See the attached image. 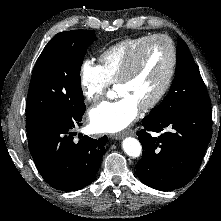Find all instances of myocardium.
Segmentation results:
<instances>
[{
    "instance_id": "myocardium-1",
    "label": "myocardium",
    "mask_w": 221,
    "mask_h": 221,
    "mask_svg": "<svg viewBox=\"0 0 221 221\" xmlns=\"http://www.w3.org/2000/svg\"><path fill=\"white\" fill-rule=\"evenodd\" d=\"M157 40H164L168 43L171 54L170 66L166 79L162 84L161 88L158 90V92L154 95V97L151 100H149L147 103H145L140 107V109L143 111H148L155 108L162 101V99L165 97L168 90L170 89L177 67V49L173 39L165 34H155L150 36L146 41H144L139 46V48L129 58L122 74L120 75L119 79L116 82L118 86L120 84L130 81L133 78V76L136 74L139 68L142 55L145 49L148 47V45H150L152 42Z\"/></svg>"
}]
</instances>
